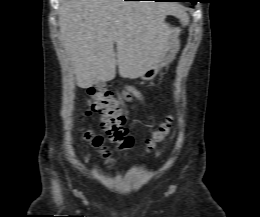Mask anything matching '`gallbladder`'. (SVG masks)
<instances>
[{"mask_svg":"<svg viewBox=\"0 0 260 217\" xmlns=\"http://www.w3.org/2000/svg\"><path fill=\"white\" fill-rule=\"evenodd\" d=\"M95 85H96L97 87H103V86H104V82H102V81H97V82L95 83Z\"/></svg>","mask_w":260,"mask_h":217,"instance_id":"obj_1","label":"gallbladder"}]
</instances>
